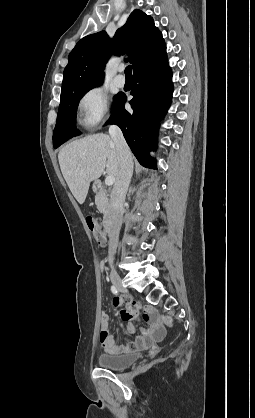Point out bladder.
Here are the masks:
<instances>
[{"label":"bladder","instance_id":"obj_1","mask_svg":"<svg viewBox=\"0 0 255 418\" xmlns=\"http://www.w3.org/2000/svg\"><path fill=\"white\" fill-rule=\"evenodd\" d=\"M139 357L140 353L138 352L119 355L102 354L98 357V364L105 369L122 370L135 363Z\"/></svg>","mask_w":255,"mask_h":418}]
</instances>
